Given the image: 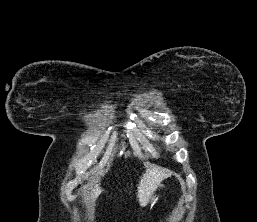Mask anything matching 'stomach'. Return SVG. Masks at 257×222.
Masks as SVG:
<instances>
[{"label":"stomach","mask_w":257,"mask_h":222,"mask_svg":"<svg viewBox=\"0 0 257 222\" xmlns=\"http://www.w3.org/2000/svg\"><path fill=\"white\" fill-rule=\"evenodd\" d=\"M156 201H157V197H156L155 194H153V195L150 197L148 203H150L151 205H154Z\"/></svg>","instance_id":"1"}]
</instances>
